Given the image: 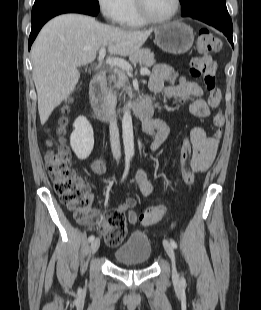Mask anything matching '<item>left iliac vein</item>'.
<instances>
[{"mask_svg":"<svg viewBox=\"0 0 261 310\" xmlns=\"http://www.w3.org/2000/svg\"><path fill=\"white\" fill-rule=\"evenodd\" d=\"M163 246H164V249H165L166 253L168 254L169 258L171 259V262H172V277L174 280H178L179 276H178L176 264H175L174 249H173L172 245L170 244V242L166 239L163 241Z\"/></svg>","mask_w":261,"mask_h":310,"instance_id":"4c4485c4","label":"left iliac vein"}]
</instances>
